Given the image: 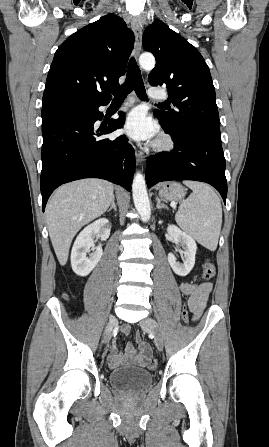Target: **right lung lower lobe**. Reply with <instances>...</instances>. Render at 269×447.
<instances>
[{
  "instance_id": "98d812e1",
  "label": "right lung lower lobe",
  "mask_w": 269,
  "mask_h": 447,
  "mask_svg": "<svg viewBox=\"0 0 269 447\" xmlns=\"http://www.w3.org/2000/svg\"><path fill=\"white\" fill-rule=\"evenodd\" d=\"M110 99L89 98L42 109V207L51 193L66 182L81 178H102L131 190L135 172V153L125 136L102 139L122 128L124 114L111 121L106 129L94 130L103 118L98 110Z\"/></svg>"
}]
</instances>
